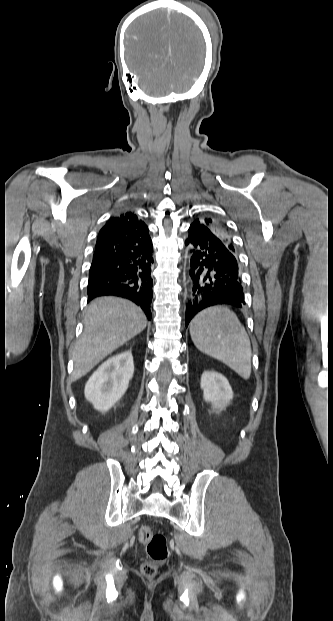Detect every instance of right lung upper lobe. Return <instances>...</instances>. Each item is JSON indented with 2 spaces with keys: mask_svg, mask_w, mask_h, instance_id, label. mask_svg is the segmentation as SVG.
I'll list each match as a JSON object with an SVG mask.
<instances>
[{
  "mask_svg": "<svg viewBox=\"0 0 333 621\" xmlns=\"http://www.w3.org/2000/svg\"><path fill=\"white\" fill-rule=\"evenodd\" d=\"M148 227L132 212L110 218L100 230L96 247L114 245L126 249H145L152 245Z\"/></svg>",
  "mask_w": 333,
  "mask_h": 621,
  "instance_id": "1",
  "label": "right lung upper lobe"
}]
</instances>
